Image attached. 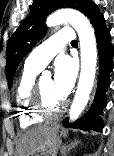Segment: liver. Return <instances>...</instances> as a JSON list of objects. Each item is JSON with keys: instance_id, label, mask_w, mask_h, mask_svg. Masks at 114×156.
Masks as SVG:
<instances>
[{"instance_id": "obj_1", "label": "liver", "mask_w": 114, "mask_h": 156, "mask_svg": "<svg viewBox=\"0 0 114 156\" xmlns=\"http://www.w3.org/2000/svg\"><path fill=\"white\" fill-rule=\"evenodd\" d=\"M50 127L48 124L37 125L22 134L16 144L15 156H32L46 139Z\"/></svg>"}]
</instances>
